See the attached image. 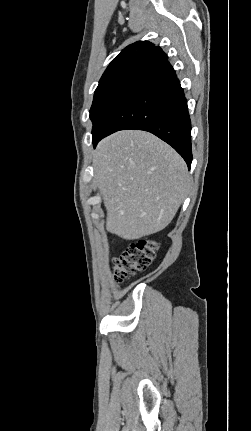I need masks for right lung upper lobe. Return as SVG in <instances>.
<instances>
[{
	"mask_svg": "<svg viewBox=\"0 0 251 431\" xmlns=\"http://www.w3.org/2000/svg\"><path fill=\"white\" fill-rule=\"evenodd\" d=\"M161 50V48L155 46L148 41H138L134 44L127 46L121 51V53L113 59L109 64L101 80L108 77L111 73L118 70L119 68L133 64L144 62L149 64L150 61L155 57V55Z\"/></svg>",
	"mask_w": 251,
	"mask_h": 431,
	"instance_id": "obj_1",
	"label": "right lung upper lobe"
}]
</instances>
